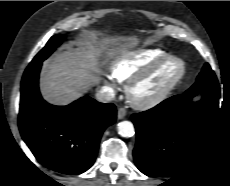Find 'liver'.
Masks as SVG:
<instances>
[{
  "mask_svg": "<svg viewBox=\"0 0 230 186\" xmlns=\"http://www.w3.org/2000/svg\"><path fill=\"white\" fill-rule=\"evenodd\" d=\"M136 41V38H128ZM116 39L89 37L79 41L77 49L58 53L44 62L40 89L45 100L67 105L80 94L99 83V57L102 49Z\"/></svg>",
  "mask_w": 230,
  "mask_h": 186,
  "instance_id": "obj_1",
  "label": "liver"
}]
</instances>
